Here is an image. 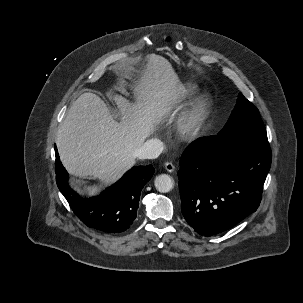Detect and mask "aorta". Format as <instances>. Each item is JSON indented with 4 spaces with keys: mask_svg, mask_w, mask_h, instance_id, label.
<instances>
[{
    "mask_svg": "<svg viewBox=\"0 0 303 303\" xmlns=\"http://www.w3.org/2000/svg\"><path fill=\"white\" fill-rule=\"evenodd\" d=\"M154 184L159 192L166 193L173 188L174 181L171 176L167 174H161L155 178Z\"/></svg>",
    "mask_w": 303,
    "mask_h": 303,
    "instance_id": "aorta-1",
    "label": "aorta"
}]
</instances>
